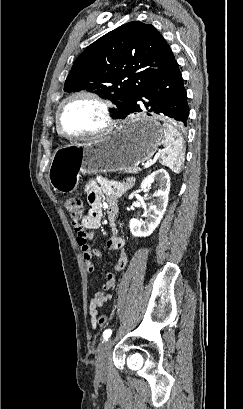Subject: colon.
<instances>
[{"label":"colon","mask_w":243,"mask_h":409,"mask_svg":"<svg viewBox=\"0 0 243 409\" xmlns=\"http://www.w3.org/2000/svg\"><path fill=\"white\" fill-rule=\"evenodd\" d=\"M65 209L73 219L75 223V232L78 236H84L86 234L85 228L78 223V220L82 217V202L78 197H67L64 201ZM97 323L101 327H106L108 319L105 315H100L97 319Z\"/></svg>","instance_id":"obj_1"}]
</instances>
